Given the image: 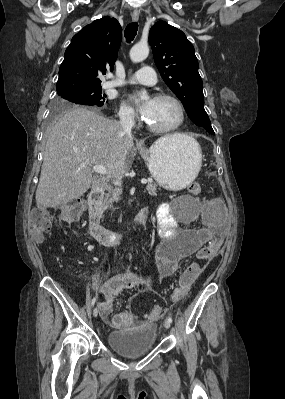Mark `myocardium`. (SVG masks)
Here are the masks:
<instances>
[{"label": "myocardium", "mask_w": 285, "mask_h": 399, "mask_svg": "<svg viewBox=\"0 0 285 399\" xmlns=\"http://www.w3.org/2000/svg\"><path fill=\"white\" fill-rule=\"evenodd\" d=\"M154 100H170V101L174 102L177 105V107L179 108L180 119L175 125H172L170 127H165V128L155 127L152 124H150L147 120H145L146 127L152 132L161 133V134L176 131L179 127H181V125L184 123L185 117H186V112H185L183 103L177 97H175L171 94H166V93H160V94L156 95L154 97Z\"/></svg>", "instance_id": "f54148a6"}]
</instances>
